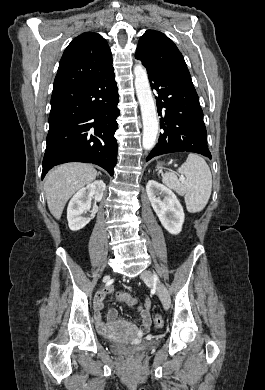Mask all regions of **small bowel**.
I'll return each instance as SVG.
<instances>
[{
  "mask_svg": "<svg viewBox=\"0 0 265 390\" xmlns=\"http://www.w3.org/2000/svg\"><path fill=\"white\" fill-rule=\"evenodd\" d=\"M136 313L139 316V319L141 320V327L140 332L145 333L149 330L151 326V316H150V301L149 299H145L143 303H137L135 306ZM95 318L97 320L99 328L105 332L106 326L102 322V316H101V302L98 301L95 306ZM108 321L110 323H114L117 318L116 311L114 309H110L107 315Z\"/></svg>",
  "mask_w": 265,
  "mask_h": 390,
  "instance_id": "c3829d8e",
  "label": "small bowel"
}]
</instances>
